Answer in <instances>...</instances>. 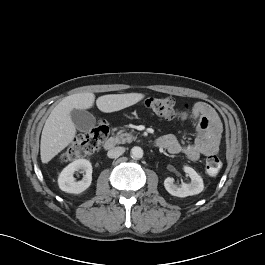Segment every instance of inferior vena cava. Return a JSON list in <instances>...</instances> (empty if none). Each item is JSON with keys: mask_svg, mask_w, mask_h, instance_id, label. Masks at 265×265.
Here are the masks:
<instances>
[{"mask_svg": "<svg viewBox=\"0 0 265 265\" xmlns=\"http://www.w3.org/2000/svg\"><path fill=\"white\" fill-rule=\"evenodd\" d=\"M125 152V148L124 147H115L112 148L108 151L107 156L109 158H118L119 156H121L123 153Z\"/></svg>", "mask_w": 265, "mask_h": 265, "instance_id": "inferior-vena-cava-1", "label": "inferior vena cava"}]
</instances>
